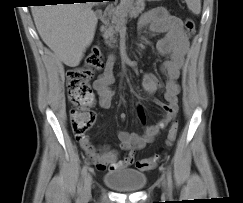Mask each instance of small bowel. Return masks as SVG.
I'll return each instance as SVG.
<instances>
[{"mask_svg":"<svg viewBox=\"0 0 243 203\" xmlns=\"http://www.w3.org/2000/svg\"><path fill=\"white\" fill-rule=\"evenodd\" d=\"M138 30L149 28L152 33L163 34L157 42L156 49L159 54L166 56L167 60L161 66L162 73L166 80L162 84L154 75L144 74L142 85L148 95H153L156 91L162 90L164 102L154 99L164 114L162 118L153 125H146V115L141 106L136 108L137 116L144 125L142 134L130 133L125 130L118 132L120 149L129 152L125 159H119L118 152L109 147L103 149L93 146L89 139L85 137L79 140L82 150L93 160L98 170H116L125 168L134 161V153L144 148L154 137L165 128L176 116L178 112V93L180 87L178 79L184 66L185 58L189 52V41L185 36L182 22L176 16L170 15L164 8L156 7L145 12L138 21ZM115 56L109 55L104 70L94 82V88L98 94L99 107L108 109L111 106L114 91L110 88L113 83V71ZM120 120H126L125 113L119 115Z\"/></svg>","mask_w":243,"mask_h":203,"instance_id":"small-bowel-1","label":"small bowel"}]
</instances>
